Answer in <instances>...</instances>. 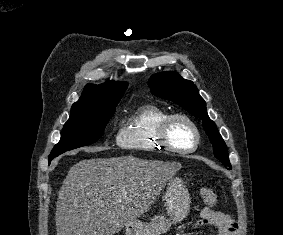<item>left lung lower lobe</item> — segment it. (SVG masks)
Returning a JSON list of instances; mask_svg holds the SVG:
<instances>
[{
	"mask_svg": "<svg viewBox=\"0 0 283 235\" xmlns=\"http://www.w3.org/2000/svg\"><path fill=\"white\" fill-rule=\"evenodd\" d=\"M226 166H228L229 167V169H231L232 167H231V165H226Z\"/></svg>",
	"mask_w": 283,
	"mask_h": 235,
	"instance_id": "left-lung-lower-lobe-1",
	"label": "left lung lower lobe"
}]
</instances>
